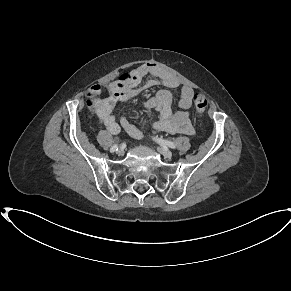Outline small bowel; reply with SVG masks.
Returning a JSON list of instances; mask_svg holds the SVG:
<instances>
[{
    "label": "small bowel",
    "mask_w": 291,
    "mask_h": 291,
    "mask_svg": "<svg viewBox=\"0 0 291 291\" xmlns=\"http://www.w3.org/2000/svg\"><path fill=\"white\" fill-rule=\"evenodd\" d=\"M147 76L149 79L144 86L152 87L161 83L168 88L161 90L156 96L144 103L146 114L151 109L158 111V119L150 123L152 129L155 132L194 134V129L189 121L193 89L189 86L181 88L178 97L179 110L174 112L172 110L174 94L171 89L178 87L179 81L166 69L154 63L143 64L127 76L108 84L109 97L106 99L100 98L102 93L101 85H94L90 88L89 101L92 102L91 107L99 123L113 134H117L122 128L131 137L142 139L144 137L143 132L132 125L126 118H121L118 123L113 110L117 104L132 100L138 92L137 87Z\"/></svg>",
    "instance_id": "c3829d8e"
}]
</instances>
